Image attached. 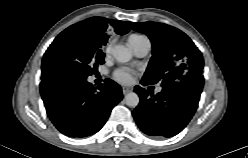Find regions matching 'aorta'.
<instances>
[{"label":"aorta","instance_id":"1","mask_svg":"<svg viewBox=\"0 0 248 158\" xmlns=\"http://www.w3.org/2000/svg\"><path fill=\"white\" fill-rule=\"evenodd\" d=\"M112 55L120 63L129 62L132 58L131 51L123 45H116L112 49ZM125 103L129 107H136L139 104V96L135 92H130L125 96Z\"/></svg>","mask_w":248,"mask_h":158}]
</instances>
